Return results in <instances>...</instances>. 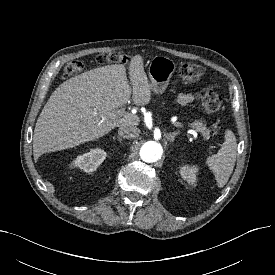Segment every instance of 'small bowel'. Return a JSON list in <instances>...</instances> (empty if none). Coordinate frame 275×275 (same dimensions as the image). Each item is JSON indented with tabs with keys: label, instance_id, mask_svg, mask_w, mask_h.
<instances>
[{
	"label": "small bowel",
	"instance_id": "small-bowel-1",
	"mask_svg": "<svg viewBox=\"0 0 275 275\" xmlns=\"http://www.w3.org/2000/svg\"><path fill=\"white\" fill-rule=\"evenodd\" d=\"M197 98L195 94H182L178 97V103L180 105H185L189 102L194 101Z\"/></svg>",
	"mask_w": 275,
	"mask_h": 275
}]
</instances>
